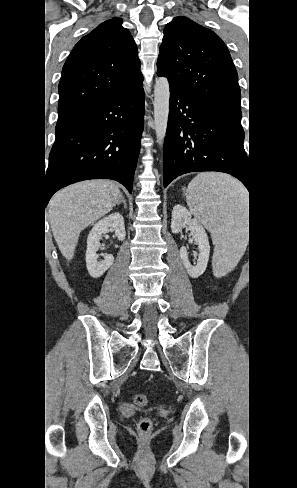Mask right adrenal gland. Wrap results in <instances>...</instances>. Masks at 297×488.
Segmentation results:
<instances>
[{
	"instance_id": "right-adrenal-gland-1",
	"label": "right adrenal gland",
	"mask_w": 297,
	"mask_h": 488,
	"mask_svg": "<svg viewBox=\"0 0 297 488\" xmlns=\"http://www.w3.org/2000/svg\"><path fill=\"white\" fill-rule=\"evenodd\" d=\"M121 203H123V204H124V208H127L126 200L124 199V197H123V196H121V199H120V201H119V203H118V206H119Z\"/></svg>"
}]
</instances>
